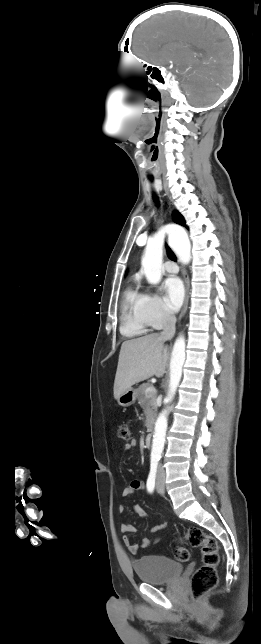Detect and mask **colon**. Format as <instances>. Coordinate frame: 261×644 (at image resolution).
Listing matches in <instances>:
<instances>
[{"instance_id":"1","label":"colon","mask_w":261,"mask_h":644,"mask_svg":"<svg viewBox=\"0 0 261 644\" xmlns=\"http://www.w3.org/2000/svg\"><path fill=\"white\" fill-rule=\"evenodd\" d=\"M118 436L122 440L130 439L131 431L127 423L119 425ZM183 540L193 547H201L202 551V564L192 575L190 584L191 597L194 601H198L218 583L219 545L214 537L205 534L197 527L190 528ZM175 556L179 561L186 562L190 558L189 549L179 546Z\"/></svg>"}]
</instances>
